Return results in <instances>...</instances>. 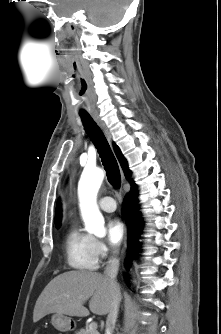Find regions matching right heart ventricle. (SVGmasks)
Segmentation results:
<instances>
[{
	"instance_id": "1",
	"label": "right heart ventricle",
	"mask_w": 221,
	"mask_h": 334,
	"mask_svg": "<svg viewBox=\"0 0 221 334\" xmlns=\"http://www.w3.org/2000/svg\"><path fill=\"white\" fill-rule=\"evenodd\" d=\"M65 255L68 265L79 271H93L98 268L99 257L95 239L80 231L76 223L71 224L64 238Z\"/></svg>"
}]
</instances>
